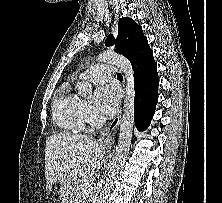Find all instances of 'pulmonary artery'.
<instances>
[{"label":"pulmonary artery","mask_w":222,"mask_h":203,"mask_svg":"<svg viewBox=\"0 0 222 203\" xmlns=\"http://www.w3.org/2000/svg\"><path fill=\"white\" fill-rule=\"evenodd\" d=\"M115 67L109 64H99L90 67L79 75L80 80H88L94 84L107 82L114 72Z\"/></svg>","instance_id":"pulmonary-artery-1"}]
</instances>
